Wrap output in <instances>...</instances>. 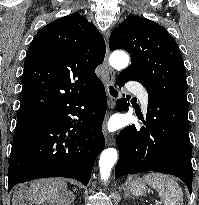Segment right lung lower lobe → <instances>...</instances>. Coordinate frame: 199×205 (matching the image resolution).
Segmentation results:
<instances>
[{
  "mask_svg": "<svg viewBox=\"0 0 199 205\" xmlns=\"http://www.w3.org/2000/svg\"><path fill=\"white\" fill-rule=\"evenodd\" d=\"M106 108V93L100 82L15 130L9 191L18 183L44 177H67L87 185L95 159L105 147L102 122Z\"/></svg>",
  "mask_w": 199,
  "mask_h": 205,
  "instance_id": "obj_1",
  "label": "right lung lower lobe"
}]
</instances>
